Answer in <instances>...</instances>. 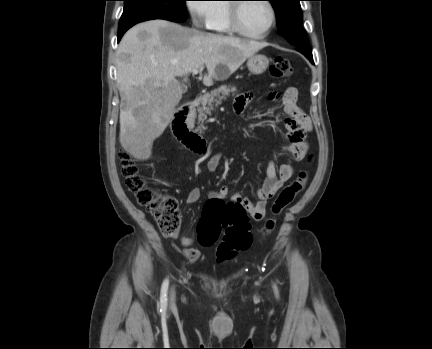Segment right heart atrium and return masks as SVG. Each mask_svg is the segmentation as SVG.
<instances>
[{
	"label": "right heart atrium",
	"mask_w": 432,
	"mask_h": 349,
	"mask_svg": "<svg viewBox=\"0 0 432 349\" xmlns=\"http://www.w3.org/2000/svg\"><path fill=\"white\" fill-rule=\"evenodd\" d=\"M187 10L196 27H206L213 11L211 0H188Z\"/></svg>",
	"instance_id": "right-heart-atrium-1"
}]
</instances>
